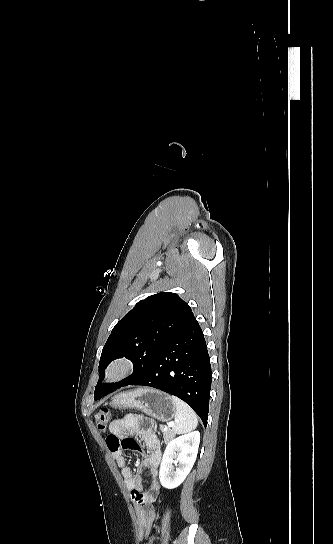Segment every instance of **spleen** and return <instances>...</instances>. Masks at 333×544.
<instances>
[{
    "instance_id": "3e777b00",
    "label": "spleen",
    "mask_w": 333,
    "mask_h": 544,
    "mask_svg": "<svg viewBox=\"0 0 333 544\" xmlns=\"http://www.w3.org/2000/svg\"><path fill=\"white\" fill-rule=\"evenodd\" d=\"M171 398L176 406L173 432L181 434L195 429L198 425V420L192 408L176 396H171Z\"/></svg>"
}]
</instances>
